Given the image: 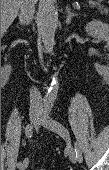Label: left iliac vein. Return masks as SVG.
I'll return each mask as SVG.
<instances>
[{"instance_id":"left-iliac-vein-1","label":"left iliac vein","mask_w":109,"mask_h":170,"mask_svg":"<svg viewBox=\"0 0 109 170\" xmlns=\"http://www.w3.org/2000/svg\"><path fill=\"white\" fill-rule=\"evenodd\" d=\"M38 123L42 124L44 127L59 134L68 144V154L69 159L72 163L79 162L75 150L71 145V138L68 130L58 121L53 120L49 117L47 113H42L38 119Z\"/></svg>"}]
</instances>
